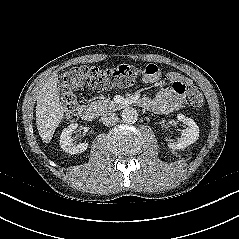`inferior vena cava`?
Wrapping results in <instances>:
<instances>
[{
    "instance_id": "inferior-vena-cava-1",
    "label": "inferior vena cava",
    "mask_w": 239,
    "mask_h": 239,
    "mask_svg": "<svg viewBox=\"0 0 239 239\" xmlns=\"http://www.w3.org/2000/svg\"><path fill=\"white\" fill-rule=\"evenodd\" d=\"M101 121L106 126H112L118 122V116L115 113H105L102 115Z\"/></svg>"
}]
</instances>
